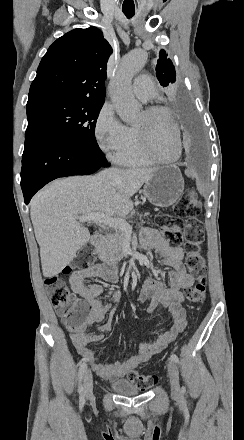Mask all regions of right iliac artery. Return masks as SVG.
Masks as SVG:
<instances>
[{"label":"right iliac artery","instance_id":"obj_1","mask_svg":"<svg viewBox=\"0 0 244 440\" xmlns=\"http://www.w3.org/2000/svg\"><path fill=\"white\" fill-rule=\"evenodd\" d=\"M86 362H87V358H83L82 359V363H81L80 368H79V372H78V381H79L78 392L80 394V405H82V406L85 403V399H84V389H83V386L81 384V381H82L83 374H84V372H85V370L87 368Z\"/></svg>","mask_w":244,"mask_h":440}]
</instances>
